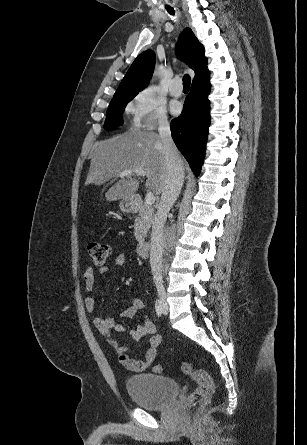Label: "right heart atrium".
<instances>
[{
  "instance_id": "d8ad5b80",
  "label": "right heart atrium",
  "mask_w": 307,
  "mask_h": 445,
  "mask_svg": "<svg viewBox=\"0 0 307 445\" xmlns=\"http://www.w3.org/2000/svg\"><path fill=\"white\" fill-rule=\"evenodd\" d=\"M134 125L145 130H155L167 125L165 102L152 88L140 91L135 100Z\"/></svg>"
}]
</instances>
